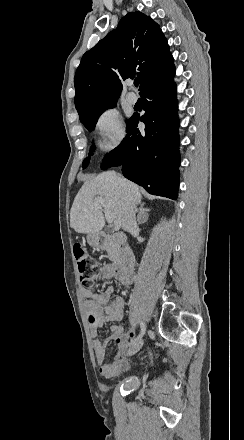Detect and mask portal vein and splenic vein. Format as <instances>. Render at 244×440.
Wrapping results in <instances>:
<instances>
[{"label": "portal vein and splenic vein", "mask_w": 244, "mask_h": 440, "mask_svg": "<svg viewBox=\"0 0 244 440\" xmlns=\"http://www.w3.org/2000/svg\"><path fill=\"white\" fill-rule=\"evenodd\" d=\"M96 202H98V204H100V206H102V208H105L106 210V222H108V224H113L114 222V218H113V214H111V212H109V210H107V206L105 204V200H103V198H99V200H96Z\"/></svg>", "instance_id": "obj_1"}]
</instances>
